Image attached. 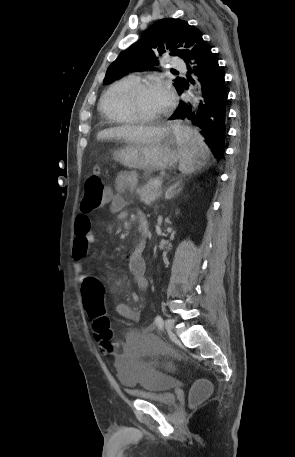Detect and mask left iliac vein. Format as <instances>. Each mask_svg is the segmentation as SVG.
<instances>
[{"label":"left iliac vein","mask_w":295,"mask_h":457,"mask_svg":"<svg viewBox=\"0 0 295 457\" xmlns=\"http://www.w3.org/2000/svg\"><path fill=\"white\" fill-rule=\"evenodd\" d=\"M165 329L169 334H173L174 331V322L171 319H166L165 320Z\"/></svg>","instance_id":"1"}]
</instances>
